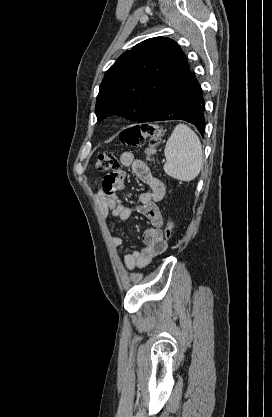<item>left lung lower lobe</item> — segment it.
<instances>
[{"label": "left lung lower lobe", "mask_w": 272, "mask_h": 417, "mask_svg": "<svg viewBox=\"0 0 272 417\" xmlns=\"http://www.w3.org/2000/svg\"><path fill=\"white\" fill-rule=\"evenodd\" d=\"M204 113L205 100L201 86L187 66L142 122L184 120L193 124L203 135Z\"/></svg>", "instance_id": "1"}]
</instances>
